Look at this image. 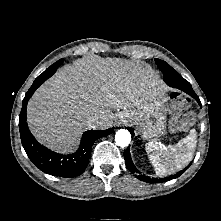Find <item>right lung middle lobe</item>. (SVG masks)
Here are the masks:
<instances>
[{
    "label": "right lung middle lobe",
    "mask_w": 221,
    "mask_h": 221,
    "mask_svg": "<svg viewBox=\"0 0 221 221\" xmlns=\"http://www.w3.org/2000/svg\"><path fill=\"white\" fill-rule=\"evenodd\" d=\"M62 62H63V59L58 60V61L55 62L53 65H51V66L47 69V71H50V70L53 69V68L59 67V66L62 64Z\"/></svg>",
    "instance_id": "dd1d6c3e"
}]
</instances>
